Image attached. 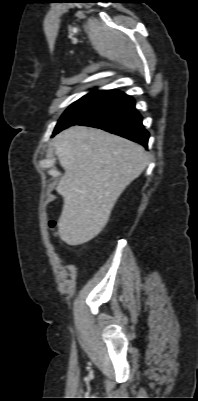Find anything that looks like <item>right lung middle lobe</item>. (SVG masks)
Returning <instances> with one entry per match:
<instances>
[{
  "instance_id": "obj_1",
  "label": "right lung middle lobe",
  "mask_w": 198,
  "mask_h": 401,
  "mask_svg": "<svg viewBox=\"0 0 198 401\" xmlns=\"http://www.w3.org/2000/svg\"><path fill=\"white\" fill-rule=\"evenodd\" d=\"M110 91H93L74 102L61 116L53 131V135L69 126L76 125L93 113L107 98Z\"/></svg>"
}]
</instances>
